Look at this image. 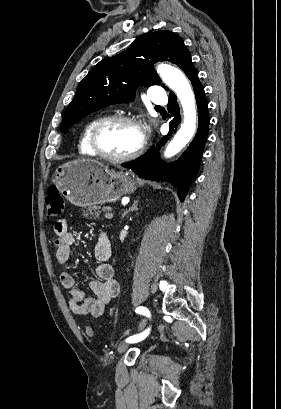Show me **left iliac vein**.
Returning <instances> with one entry per match:
<instances>
[{
  "instance_id": "left-iliac-vein-1",
  "label": "left iliac vein",
  "mask_w": 281,
  "mask_h": 409,
  "mask_svg": "<svg viewBox=\"0 0 281 409\" xmlns=\"http://www.w3.org/2000/svg\"><path fill=\"white\" fill-rule=\"evenodd\" d=\"M145 325H146V319H142V321H141V323H140V325H139V330H142L144 327H145ZM129 342H122L119 346H118V349H117V351H118V353H123V352H125L127 349H128V347H129Z\"/></svg>"
}]
</instances>
